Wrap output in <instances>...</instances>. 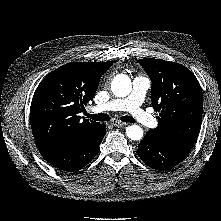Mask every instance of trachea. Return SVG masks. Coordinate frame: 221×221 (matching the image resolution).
<instances>
[{
    "label": "trachea",
    "instance_id": "trachea-1",
    "mask_svg": "<svg viewBox=\"0 0 221 221\" xmlns=\"http://www.w3.org/2000/svg\"><path fill=\"white\" fill-rule=\"evenodd\" d=\"M85 115L87 116V118H90L92 120L95 121H109L110 120V116L104 113H98V114H89V113H85ZM122 122H127V123H133L135 122L134 118L131 116H123L121 118Z\"/></svg>",
    "mask_w": 221,
    "mask_h": 221
}]
</instances>
